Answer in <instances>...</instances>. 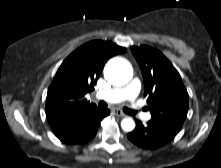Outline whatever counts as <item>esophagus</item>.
Wrapping results in <instances>:
<instances>
[{
	"instance_id": "esophagus-1",
	"label": "esophagus",
	"mask_w": 221,
	"mask_h": 168,
	"mask_svg": "<svg viewBox=\"0 0 221 168\" xmlns=\"http://www.w3.org/2000/svg\"><path fill=\"white\" fill-rule=\"evenodd\" d=\"M114 113H115V115L118 116V117H124V116H126V114L123 113V112H122L121 110H119V109L114 110Z\"/></svg>"
}]
</instances>
